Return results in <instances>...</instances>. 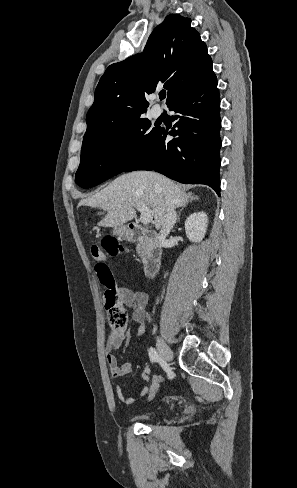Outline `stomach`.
Wrapping results in <instances>:
<instances>
[{"label":"stomach","instance_id":"1","mask_svg":"<svg viewBox=\"0 0 297 488\" xmlns=\"http://www.w3.org/2000/svg\"><path fill=\"white\" fill-rule=\"evenodd\" d=\"M113 234L122 238H128L129 237V232L128 229L125 226H119L114 228Z\"/></svg>","mask_w":297,"mask_h":488}]
</instances>
